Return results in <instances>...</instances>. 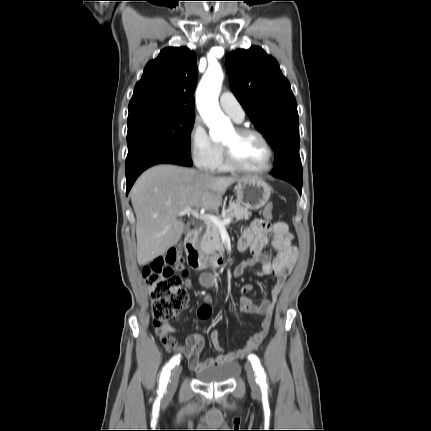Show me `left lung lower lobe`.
<instances>
[{
  "label": "left lung lower lobe",
  "mask_w": 431,
  "mask_h": 431,
  "mask_svg": "<svg viewBox=\"0 0 431 431\" xmlns=\"http://www.w3.org/2000/svg\"><path fill=\"white\" fill-rule=\"evenodd\" d=\"M274 177L277 178H281L284 179L288 182H290L291 184H293L299 191V193L301 194L302 191V174H294V173H290V172H285V173H271Z\"/></svg>",
  "instance_id": "0a47b994"
}]
</instances>
